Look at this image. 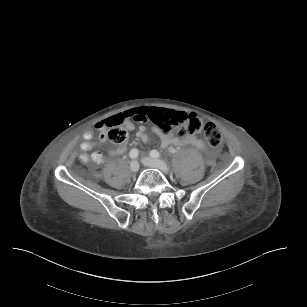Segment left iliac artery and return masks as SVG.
<instances>
[{"instance_id": "obj_1", "label": "left iliac artery", "mask_w": 307, "mask_h": 307, "mask_svg": "<svg viewBox=\"0 0 307 307\" xmlns=\"http://www.w3.org/2000/svg\"><path fill=\"white\" fill-rule=\"evenodd\" d=\"M150 156H151L152 158H159V157H160V153H159L158 151H156V150H152V151L150 152Z\"/></svg>"}]
</instances>
